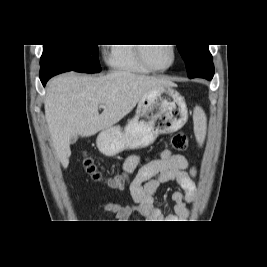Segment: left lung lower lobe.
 <instances>
[{
  "label": "left lung lower lobe",
  "instance_id": "1",
  "mask_svg": "<svg viewBox=\"0 0 267 267\" xmlns=\"http://www.w3.org/2000/svg\"><path fill=\"white\" fill-rule=\"evenodd\" d=\"M213 75H214V69L213 70L209 69V70H205V71L201 72L196 77L211 80L213 78Z\"/></svg>",
  "mask_w": 267,
  "mask_h": 267
}]
</instances>
